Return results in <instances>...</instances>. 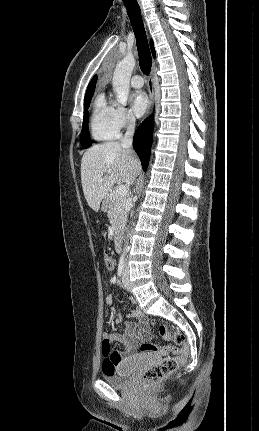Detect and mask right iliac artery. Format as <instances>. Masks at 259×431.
<instances>
[{
	"instance_id": "1",
	"label": "right iliac artery",
	"mask_w": 259,
	"mask_h": 431,
	"mask_svg": "<svg viewBox=\"0 0 259 431\" xmlns=\"http://www.w3.org/2000/svg\"><path fill=\"white\" fill-rule=\"evenodd\" d=\"M124 264H125L124 257L121 256L119 264H118V271H117L119 277H121L123 275Z\"/></svg>"
}]
</instances>
